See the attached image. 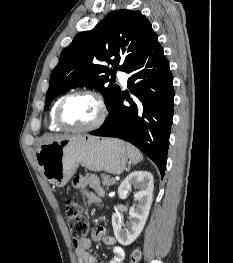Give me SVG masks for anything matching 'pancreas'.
Returning <instances> with one entry per match:
<instances>
[{"instance_id":"cf45deb5","label":"pancreas","mask_w":233,"mask_h":263,"mask_svg":"<svg viewBox=\"0 0 233 263\" xmlns=\"http://www.w3.org/2000/svg\"><path fill=\"white\" fill-rule=\"evenodd\" d=\"M102 179V185L109 188L112 184H115V180H112L108 175L102 174L101 175Z\"/></svg>"}]
</instances>
